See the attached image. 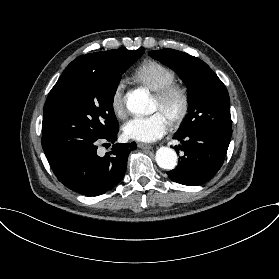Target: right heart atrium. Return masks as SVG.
I'll return each instance as SVG.
<instances>
[{
  "mask_svg": "<svg viewBox=\"0 0 279 279\" xmlns=\"http://www.w3.org/2000/svg\"><path fill=\"white\" fill-rule=\"evenodd\" d=\"M125 89H126L125 81L120 80L114 86L109 98L110 109L118 119H122L125 116V105H124Z\"/></svg>",
  "mask_w": 279,
  "mask_h": 279,
  "instance_id": "d8ad5b80",
  "label": "right heart atrium"
}]
</instances>
